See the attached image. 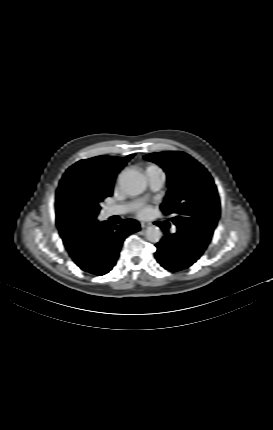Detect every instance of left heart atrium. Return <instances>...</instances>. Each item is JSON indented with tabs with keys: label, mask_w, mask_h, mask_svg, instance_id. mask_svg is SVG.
I'll list each match as a JSON object with an SVG mask.
<instances>
[{
	"label": "left heart atrium",
	"mask_w": 273,
	"mask_h": 430,
	"mask_svg": "<svg viewBox=\"0 0 273 430\" xmlns=\"http://www.w3.org/2000/svg\"><path fill=\"white\" fill-rule=\"evenodd\" d=\"M148 213V209L147 208H143V209H141L140 211H139V215L140 216H144V215H146Z\"/></svg>",
	"instance_id": "left-heart-atrium-1"
}]
</instances>
